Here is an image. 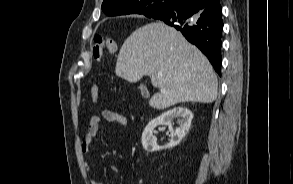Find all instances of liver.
Wrapping results in <instances>:
<instances>
[{
  "label": "liver",
  "mask_w": 293,
  "mask_h": 184,
  "mask_svg": "<svg viewBox=\"0 0 293 184\" xmlns=\"http://www.w3.org/2000/svg\"><path fill=\"white\" fill-rule=\"evenodd\" d=\"M115 73L131 83L150 76L153 87L160 88L149 101L156 109L189 101L211 103L217 98L218 81L208 59L162 22L139 27L125 40Z\"/></svg>",
  "instance_id": "liver-1"
}]
</instances>
